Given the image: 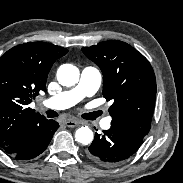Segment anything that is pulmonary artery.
Instances as JSON below:
<instances>
[{"instance_id":"pulmonary-artery-1","label":"pulmonary artery","mask_w":183,"mask_h":183,"mask_svg":"<svg viewBox=\"0 0 183 183\" xmlns=\"http://www.w3.org/2000/svg\"><path fill=\"white\" fill-rule=\"evenodd\" d=\"M101 84V73L95 67H86L82 70L80 80L73 88L42 101V104L52 109H66L81 101L85 97L94 95ZM110 118H107L103 127L109 129Z\"/></svg>"}]
</instances>
